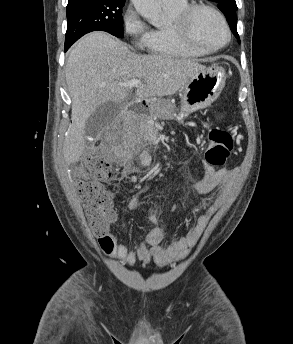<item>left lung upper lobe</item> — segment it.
<instances>
[{
	"mask_svg": "<svg viewBox=\"0 0 293 344\" xmlns=\"http://www.w3.org/2000/svg\"><path fill=\"white\" fill-rule=\"evenodd\" d=\"M211 1H214L218 4V8L226 16L233 34L240 41L239 35L237 33V29H236L237 17H236L235 12L238 8H237L235 0H211Z\"/></svg>",
	"mask_w": 293,
	"mask_h": 344,
	"instance_id": "left-lung-upper-lobe-1",
	"label": "left lung upper lobe"
}]
</instances>
